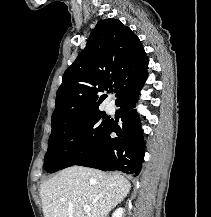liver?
<instances>
[{"label": "liver", "instance_id": "obj_1", "mask_svg": "<svg viewBox=\"0 0 211 217\" xmlns=\"http://www.w3.org/2000/svg\"><path fill=\"white\" fill-rule=\"evenodd\" d=\"M130 189V182L120 174L68 167L41 184L43 214L44 217H107ZM84 206L91 211L86 213Z\"/></svg>", "mask_w": 211, "mask_h": 217}]
</instances>
